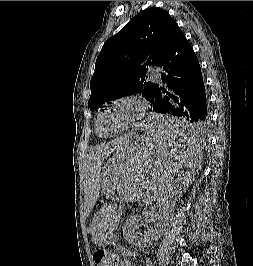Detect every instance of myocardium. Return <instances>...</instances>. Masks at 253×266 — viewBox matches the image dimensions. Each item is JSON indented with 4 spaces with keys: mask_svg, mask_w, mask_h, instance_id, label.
<instances>
[{
    "mask_svg": "<svg viewBox=\"0 0 253 266\" xmlns=\"http://www.w3.org/2000/svg\"><path fill=\"white\" fill-rule=\"evenodd\" d=\"M120 103H129V104L134 106L135 111H134L132 118L122 129L115 132L114 134L107 135V136L100 134V132L98 130V123H99V119H100L102 113L105 110H107L108 108L115 106L117 104H120ZM147 108H148L147 102L141 96L136 95V94H132V93L123 94V95L113 99L112 101L108 102L99 110V112L96 116V120H95V131L102 138L116 137V136L128 131L129 129L133 128L134 126H136L142 120V118L146 115Z\"/></svg>",
    "mask_w": 253,
    "mask_h": 266,
    "instance_id": "myocardium-1",
    "label": "myocardium"
}]
</instances>
